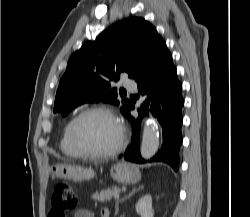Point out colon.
<instances>
[{
	"instance_id": "colon-1",
	"label": "colon",
	"mask_w": 250,
	"mask_h": 217,
	"mask_svg": "<svg viewBox=\"0 0 250 217\" xmlns=\"http://www.w3.org/2000/svg\"><path fill=\"white\" fill-rule=\"evenodd\" d=\"M76 206V195L69 183L61 182L55 185L50 199L48 217H67Z\"/></svg>"
}]
</instances>
